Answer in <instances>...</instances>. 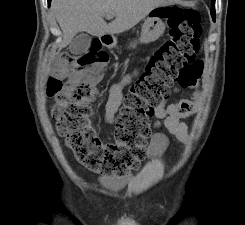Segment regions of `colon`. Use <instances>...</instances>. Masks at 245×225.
I'll return each mask as SVG.
<instances>
[{
    "instance_id": "5ec220e1",
    "label": "colon",
    "mask_w": 245,
    "mask_h": 225,
    "mask_svg": "<svg viewBox=\"0 0 245 225\" xmlns=\"http://www.w3.org/2000/svg\"><path fill=\"white\" fill-rule=\"evenodd\" d=\"M170 38L147 60L140 77L126 95L114 132L115 143L104 145L91 126L96 90L86 82L99 72L75 74L74 65L106 68L107 52L90 38V49L83 56L63 55L48 83L56 103L51 115L58 135L65 139L74 158L89 170L107 176H125L145 155L150 136V120L156 107L168 98L178 84L196 91L202 65L195 62L201 34L200 15L191 9L164 10ZM198 110L196 97L176 104V114L185 117Z\"/></svg>"
}]
</instances>
